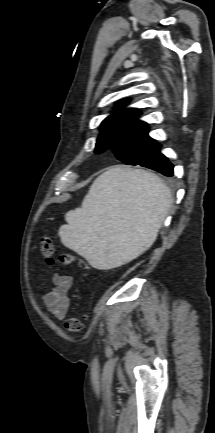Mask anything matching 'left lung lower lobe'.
Instances as JSON below:
<instances>
[{
  "label": "left lung lower lobe",
  "mask_w": 215,
  "mask_h": 433,
  "mask_svg": "<svg viewBox=\"0 0 215 433\" xmlns=\"http://www.w3.org/2000/svg\"><path fill=\"white\" fill-rule=\"evenodd\" d=\"M173 168H174L173 164H171L168 161V159L164 156L162 163L156 169L153 170L162 173L165 176L171 177L173 175Z\"/></svg>",
  "instance_id": "1"
}]
</instances>
